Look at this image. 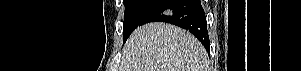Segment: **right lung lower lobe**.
<instances>
[{
    "label": "right lung lower lobe",
    "instance_id": "98d812e1",
    "mask_svg": "<svg viewBox=\"0 0 301 71\" xmlns=\"http://www.w3.org/2000/svg\"><path fill=\"white\" fill-rule=\"evenodd\" d=\"M156 21L190 31L209 52L206 17L200 0H157L144 14L139 26Z\"/></svg>",
    "mask_w": 301,
    "mask_h": 71
}]
</instances>
